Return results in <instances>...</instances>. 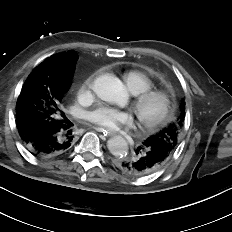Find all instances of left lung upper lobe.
Returning <instances> with one entry per match:
<instances>
[{
	"mask_svg": "<svg viewBox=\"0 0 232 232\" xmlns=\"http://www.w3.org/2000/svg\"><path fill=\"white\" fill-rule=\"evenodd\" d=\"M185 118V103L182 102L179 108V116L176 121L169 124L159 133L148 137L145 141L164 148L172 155L178 144L180 130Z\"/></svg>",
	"mask_w": 232,
	"mask_h": 232,
	"instance_id": "obj_1",
	"label": "left lung upper lobe"
}]
</instances>
